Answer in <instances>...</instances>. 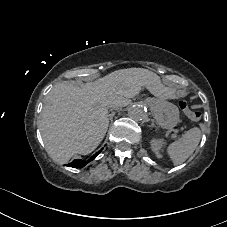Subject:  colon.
<instances>
[{"mask_svg":"<svg viewBox=\"0 0 227 227\" xmlns=\"http://www.w3.org/2000/svg\"><path fill=\"white\" fill-rule=\"evenodd\" d=\"M180 109L193 121H198L201 118V112L199 110L192 109L188 102L182 101L179 104Z\"/></svg>","mask_w":227,"mask_h":227,"instance_id":"1","label":"colon"}]
</instances>
